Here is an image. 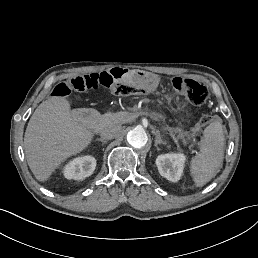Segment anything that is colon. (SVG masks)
<instances>
[{
  "instance_id": "obj_1",
  "label": "colon",
  "mask_w": 258,
  "mask_h": 258,
  "mask_svg": "<svg viewBox=\"0 0 258 258\" xmlns=\"http://www.w3.org/2000/svg\"><path fill=\"white\" fill-rule=\"evenodd\" d=\"M174 89L184 95L191 103L201 105L206 102L209 96L207 87L194 79L176 77L172 81ZM100 87L110 89L118 96L139 95L146 93V90L134 81L110 83L104 79L103 73H92L88 75L76 76L57 84L53 90V95L65 97L71 91L84 92L97 90ZM217 121L216 116H203L200 120L201 125H206Z\"/></svg>"
}]
</instances>
